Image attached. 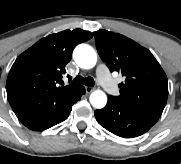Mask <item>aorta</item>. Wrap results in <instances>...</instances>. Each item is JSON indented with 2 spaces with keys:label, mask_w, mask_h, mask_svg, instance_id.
<instances>
[{
  "label": "aorta",
  "mask_w": 181,
  "mask_h": 164,
  "mask_svg": "<svg viewBox=\"0 0 181 164\" xmlns=\"http://www.w3.org/2000/svg\"><path fill=\"white\" fill-rule=\"evenodd\" d=\"M73 59L80 68L91 69L97 63V53L91 46L80 44L74 49ZM89 101L94 108L101 109L107 104V95L97 89L90 94Z\"/></svg>",
  "instance_id": "1"
}]
</instances>
